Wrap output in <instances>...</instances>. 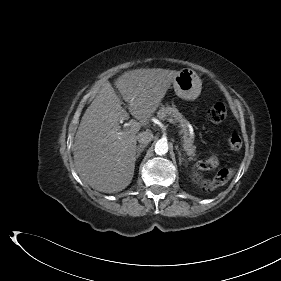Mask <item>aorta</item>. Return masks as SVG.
I'll list each match as a JSON object with an SVG mask.
<instances>
[{
    "label": "aorta",
    "mask_w": 281,
    "mask_h": 281,
    "mask_svg": "<svg viewBox=\"0 0 281 281\" xmlns=\"http://www.w3.org/2000/svg\"><path fill=\"white\" fill-rule=\"evenodd\" d=\"M155 152L158 155H164L168 152V143L165 140H158L155 144Z\"/></svg>",
    "instance_id": "aorta-1"
}]
</instances>
